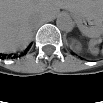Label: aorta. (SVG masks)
Returning a JSON list of instances; mask_svg holds the SVG:
<instances>
[{
    "mask_svg": "<svg viewBox=\"0 0 103 103\" xmlns=\"http://www.w3.org/2000/svg\"><path fill=\"white\" fill-rule=\"evenodd\" d=\"M56 25L62 31H71L73 20L68 14L62 13L57 17Z\"/></svg>",
    "mask_w": 103,
    "mask_h": 103,
    "instance_id": "aorta-1",
    "label": "aorta"
}]
</instances>
